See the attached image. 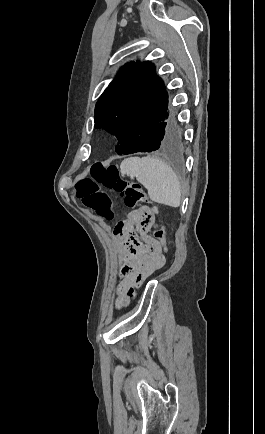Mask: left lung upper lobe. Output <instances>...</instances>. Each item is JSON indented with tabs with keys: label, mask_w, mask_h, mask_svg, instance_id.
<instances>
[{
	"label": "left lung upper lobe",
	"mask_w": 265,
	"mask_h": 434,
	"mask_svg": "<svg viewBox=\"0 0 265 434\" xmlns=\"http://www.w3.org/2000/svg\"><path fill=\"white\" fill-rule=\"evenodd\" d=\"M169 116L168 94L150 62H130L105 89L95 107V128L124 139L159 126Z\"/></svg>",
	"instance_id": "5c2ea615"
}]
</instances>
